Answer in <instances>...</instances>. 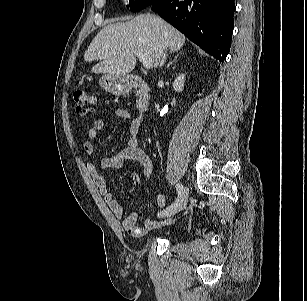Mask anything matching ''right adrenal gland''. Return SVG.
Listing matches in <instances>:
<instances>
[{
	"label": "right adrenal gland",
	"instance_id": "obj_1",
	"mask_svg": "<svg viewBox=\"0 0 307 301\" xmlns=\"http://www.w3.org/2000/svg\"><path fill=\"white\" fill-rule=\"evenodd\" d=\"M181 53H182V52H181ZM178 55H179V54H177V55L175 56L174 60H172V61H170V62L168 63L167 68H168L170 65H172V63L176 60V58L178 57Z\"/></svg>",
	"mask_w": 307,
	"mask_h": 301
}]
</instances>
